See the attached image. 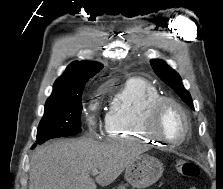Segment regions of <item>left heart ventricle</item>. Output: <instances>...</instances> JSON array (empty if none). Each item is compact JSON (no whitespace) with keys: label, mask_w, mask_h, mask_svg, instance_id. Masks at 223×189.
I'll use <instances>...</instances> for the list:
<instances>
[{"label":"left heart ventricle","mask_w":223,"mask_h":189,"mask_svg":"<svg viewBox=\"0 0 223 189\" xmlns=\"http://www.w3.org/2000/svg\"><path fill=\"white\" fill-rule=\"evenodd\" d=\"M157 128L162 137L176 142L184 135L185 122L178 109L167 104L159 115Z\"/></svg>","instance_id":"left-heart-ventricle-1"}]
</instances>
